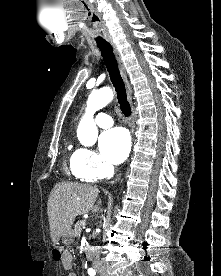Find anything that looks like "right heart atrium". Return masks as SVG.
Wrapping results in <instances>:
<instances>
[{
    "label": "right heart atrium",
    "instance_id": "obj_1",
    "mask_svg": "<svg viewBox=\"0 0 221 276\" xmlns=\"http://www.w3.org/2000/svg\"><path fill=\"white\" fill-rule=\"evenodd\" d=\"M77 164L83 179L88 181L103 178L111 172V167L99 154L86 148L77 150Z\"/></svg>",
    "mask_w": 221,
    "mask_h": 276
}]
</instances>
